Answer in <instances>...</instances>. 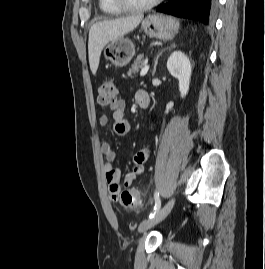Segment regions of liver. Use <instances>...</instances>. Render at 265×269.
Segmentation results:
<instances>
[{
	"label": "liver",
	"mask_w": 265,
	"mask_h": 269,
	"mask_svg": "<svg viewBox=\"0 0 265 269\" xmlns=\"http://www.w3.org/2000/svg\"><path fill=\"white\" fill-rule=\"evenodd\" d=\"M142 19L143 15L140 14L114 20H104L91 26L88 39V56L93 74L97 72L100 55L105 45L133 31Z\"/></svg>",
	"instance_id": "liver-1"
}]
</instances>
